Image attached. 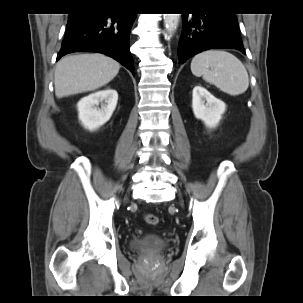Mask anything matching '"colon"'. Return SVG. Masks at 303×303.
I'll use <instances>...</instances> for the list:
<instances>
[{
	"mask_svg": "<svg viewBox=\"0 0 303 303\" xmlns=\"http://www.w3.org/2000/svg\"><path fill=\"white\" fill-rule=\"evenodd\" d=\"M145 221L150 225H157L159 222V219L154 214H148L145 216Z\"/></svg>",
	"mask_w": 303,
	"mask_h": 303,
	"instance_id": "5ec220e1",
	"label": "colon"
}]
</instances>
